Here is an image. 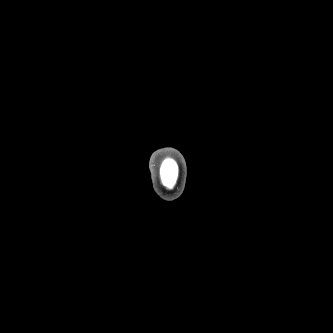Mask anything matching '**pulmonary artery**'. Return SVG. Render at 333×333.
I'll return each mask as SVG.
<instances>
[{
  "label": "pulmonary artery",
  "instance_id": "pulmonary-artery-1",
  "mask_svg": "<svg viewBox=\"0 0 333 333\" xmlns=\"http://www.w3.org/2000/svg\"><path fill=\"white\" fill-rule=\"evenodd\" d=\"M79 280L82 281V282H86L87 278L83 277V276H80Z\"/></svg>",
  "mask_w": 333,
  "mask_h": 333
}]
</instances>
